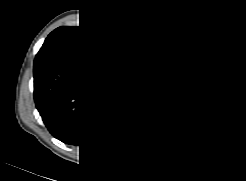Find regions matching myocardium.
<instances>
[{"instance_id": "myocardium-1", "label": "myocardium", "mask_w": 246, "mask_h": 181, "mask_svg": "<svg viewBox=\"0 0 246 181\" xmlns=\"http://www.w3.org/2000/svg\"><path fill=\"white\" fill-rule=\"evenodd\" d=\"M159 48L160 47H157V48L153 49L152 51L148 52V54L146 56V59L152 58L157 53V51L159 50Z\"/></svg>"}]
</instances>
